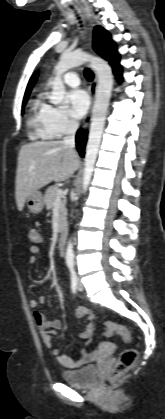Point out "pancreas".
Segmentation results:
<instances>
[{
	"mask_svg": "<svg viewBox=\"0 0 165 419\" xmlns=\"http://www.w3.org/2000/svg\"><path fill=\"white\" fill-rule=\"evenodd\" d=\"M59 189L58 186H50L46 189L45 196H44V203L46 205V208L48 210L52 209L56 202V191ZM66 200L63 198V200L59 201V207H60V216H59V229L62 231L66 225Z\"/></svg>",
	"mask_w": 165,
	"mask_h": 419,
	"instance_id": "obj_1",
	"label": "pancreas"
}]
</instances>
